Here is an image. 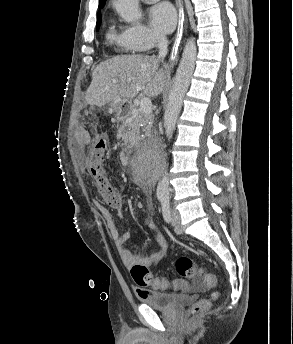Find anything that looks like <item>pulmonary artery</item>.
<instances>
[{
    "instance_id": "pulmonary-artery-1",
    "label": "pulmonary artery",
    "mask_w": 293,
    "mask_h": 344,
    "mask_svg": "<svg viewBox=\"0 0 293 344\" xmlns=\"http://www.w3.org/2000/svg\"><path fill=\"white\" fill-rule=\"evenodd\" d=\"M144 1L145 3H154V2H157L158 0H142Z\"/></svg>"
}]
</instances>
